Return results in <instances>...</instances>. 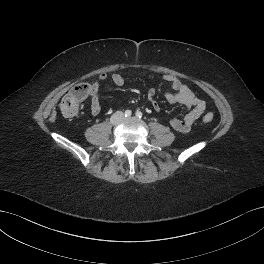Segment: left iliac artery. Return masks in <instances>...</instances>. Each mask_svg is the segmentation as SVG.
<instances>
[{
    "mask_svg": "<svg viewBox=\"0 0 264 264\" xmlns=\"http://www.w3.org/2000/svg\"><path fill=\"white\" fill-rule=\"evenodd\" d=\"M142 115H143L142 112H140V111L136 112V116H137L138 118H141Z\"/></svg>",
    "mask_w": 264,
    "mask_h": 264,
    "instance_id": "obj_1",
    "label": "left iliac artery"
}]
</instances>
